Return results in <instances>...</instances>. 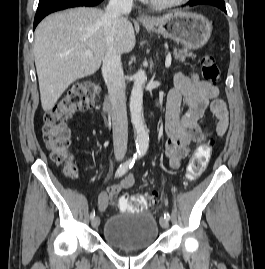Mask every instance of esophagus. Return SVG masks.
<instances>
[{
    "label": "esophagus",
    "mask_w": 265,
    "mask_h": 269,
    "mask_svg": "<svg viewBox=\"0 0 265 269\" xmlns=\"http://www.w3.org/2000/svg\"><path fill=\"white\" fill-rule=\"evenodd\" d=\"M138 19H139V21L142 22V23H147V22H151V21H152L151 17H149V16H147V15H144V14L140 15V16L138 17Z\"/></svg>",
    "instance_id": "obj_1"
}]
</instances>
